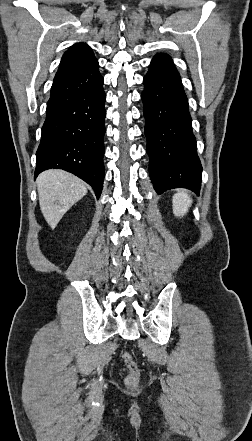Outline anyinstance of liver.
<instances>
[{
	"label": "liver",
	"mask_w": 252,
	"mask_h": 441,
	"mask_svg": "<svg viewBox=\"0 0 252 441\" xmlns=\"http://www.w3.org/2000/svg\"><path fill=\"white\" fill-rule=\"evenodd\" d=\"M36 184L41 212L52 229L87 194L86 184L81 179L58 169L42 172Z\"/></svg>",
	"instance_id": "1"
}]
</instances>
